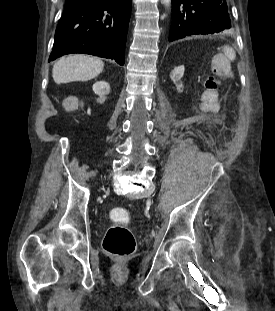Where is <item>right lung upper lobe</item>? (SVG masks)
I'll list each match as a JSON object with an SVG mask.
<instances>
[{"label": "right lung upper lobe", "mask_w": 275, "mask_h": 311, "mask_svg": "<svg viewBox=\"0 0 275 311\" xmlns=\"http://www.w3.org/2000/svg\"><path fill=\"white\" fill-rule=\"evenodd\" d=\"M79 0H67L66 4H70V3H74V2H77Z\"/></svg>", "instance_id": "right-lung-upper-lobe-1"}]
</instances>
